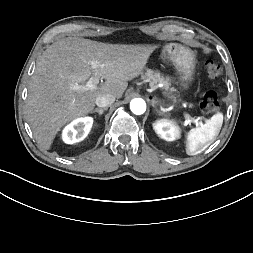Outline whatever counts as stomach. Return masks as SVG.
Returning <instances> with one entry per match:
<instances>
[{"label":"stomach","instance_id":"0dacf381","mask_svg":"<svg viewBox=\"0 0 253 253\" xmlns=\"http://www.w3.org/2000/svg\"><path fill=\"white\" fill-rule=\"evenodd\" d=\"M162 55L165 60L172 62L182 81L190 82L192 80L195 54L190 48L177 43H169L164 46Z\"/></svg>","mask_w":253,"mask_h":253}]
</instances>
